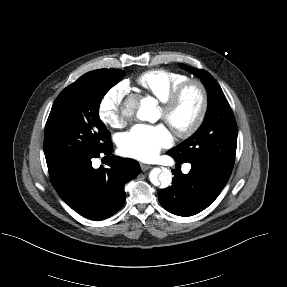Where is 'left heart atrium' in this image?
<instances>
[{
  "instance_id": "1",
  "label": "left heart atrium",
  "mask_w": 287,
  "mask_h": 287,
  "mask_svg": "<svg viewBox=\"0 0 287 287\" xmlns=\"http://www.w3.org/2000/svg\"><path fill=\"white\" fill-rule=\"evenodd\" d=\"M171 142V134L164 125L138 124L121 135L119 148L127 157L150 161Z\"/></svg>"
}]
</instances>
